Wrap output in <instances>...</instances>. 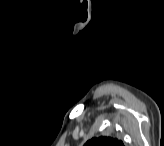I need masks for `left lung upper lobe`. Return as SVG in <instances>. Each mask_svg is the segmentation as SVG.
<instances>
[{
    "label": "left lung upper lobe",
    "instance_id": "1",
    "mask_svg": "<svg viewBox=\"0 0 164 146\" xmlns=\"http://www.w3.org/2000/svg\"><path fill=\"white\" fill-rule=\"evenodd\" d=\"M85 146H123L122 141L111 137H94L88 140Z\"/></svg>",
    "mask_w": 164,
    "mask_h": 146
}]
</instances>
